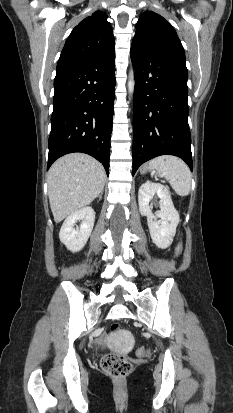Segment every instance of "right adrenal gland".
I'll return each instance as SVG.
<instances>
[{
  "mask_svg": "<svg viewBox=\"0 0 233 413\" xmlns=\"http://www.w3.org/2000/svg\"><path fill=\"white\" fill-rule=\"evenodd\" d=\"M102 192L99 194V196H98V198H99V200H101L102 199Z\"/></svg>",
  "mask_w": 233,
  "mask_h": 413,
  "instance_id": "1",
  "label": "right adrenal gland"
}]
</instances>
